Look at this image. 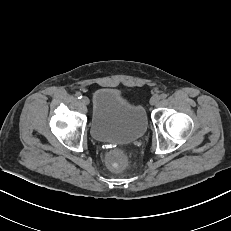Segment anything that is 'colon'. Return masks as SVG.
<instances>
[{"mask_svg":"<svg viewBox=\"0 0 231 231\" xmlns=\"http://www.w3.org/2000/svg\"><path fill=\"white\" fill-rule=\"evenodd\" d=\"M107 165L113 170H122L127 164V154L123 147L111 150L106 157Z\"/></svg>","mask_w":231,"mask_h":231,"instance_id":"5ec220e1","label":"colon"}]
</instances>
